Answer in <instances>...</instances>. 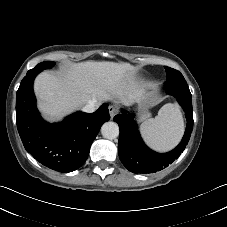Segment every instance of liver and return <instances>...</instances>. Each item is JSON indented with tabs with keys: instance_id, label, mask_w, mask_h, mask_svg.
<instances>
[{
	"instance_id": "liver-1",
	"label": "liver",
	"mask_w": 227,
	"mask_h": 227,
	"mask_svg": "<svg viewBox=\"0 0 227 227\" xmlns=\"http://www.w3.org/2000/svg\"><path fill=\"white\" fill-rule=\"evenodd\" d=\"M129 63L86 61L73 63L57 73L42 72L34 83L39 110L49 120H59L91 101L130 104L142 88L134 80Z\"/></svg>"
}]
</instances>
